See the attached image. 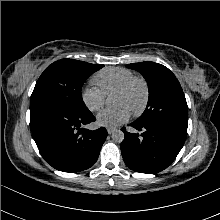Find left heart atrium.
Listing matches in <instances>:
<instances>
[{
  "instance_id": "left-heart-atrium-1",
  "label": "left heart atrium",
  "mask_w": 220,
  "mask_h": 220,
  "mask_svg": "<svg viewBox=\"0 0 220 220\" xmlns=\"http://www.w3.org/2000/svg\"><path fill=\"white\" fill-rule=\"evenodd\" d=\"M131 116V111L124 105L105 109L97 115V123L105 127H116L126 122Z\"/></svg>"
}]
</instances>
